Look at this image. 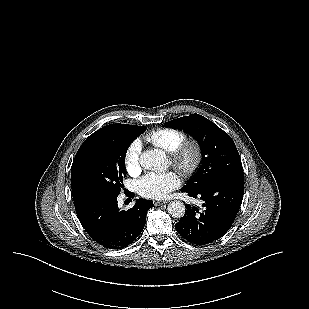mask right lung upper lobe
<instances>
[{"label":"right lung upper lobe","mask_w":309,"mask_h":309,"mask_svg":"<svg viewBox=\"0 0 309 309\" xmlns=\"http://www.w3.org/2000/svg\"><path fill=\"white\" fill-rule=\"evenodd\" d=\"M118 124H110L107 125L105 127H102L101 129L97 130L96 132H94L93 134H91L85 141L84 143L81 145V147L79 148L74 162L72 164V169H71V186H72V194H73V199H74V204H77L83 200H85L87 197L82 194L79 190V185H78V180H77V176H76V164L84 150V148L94 139L103 136L105 134H107L108 132H110L111 130H113L115 127H117Z\"/></svg>","instance_id":"obj_1"}]
</instances>
